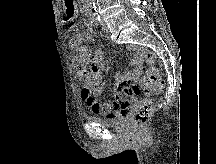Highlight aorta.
I'll return each mask as SVG.
<instances>
[{"label":"aorta","instance_id":"aorta-1","mask_svg":"<svg viewBox=\"0 0 216 164\" xmlns=\"http://www.w3.org/2000/svg\"><path fill=\"white\" fill-rule=\"evenodd\" d=\"M89 2L88 4V7L90 8V12L95 15V10H96V7H95V3L96 1L98 2V0H87Z\"/></svg>","mask_w":216,"mask_h":164}]
</instances>
